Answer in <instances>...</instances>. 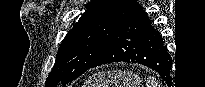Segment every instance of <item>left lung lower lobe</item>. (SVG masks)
<instances>
[{
	"instance_id": "1",
	"label": "left lung lower lobe",
	"mask_w": 205,
	"mask_h": 87,
	"mask_svg": "<svg viewBox=\"0 0 205 87\" xmlns=\"http://www.w3.org/2000/svg\"><path fill=\"white\" fill-rule=\"evenodd\" d=\"M113 62L142 64L157 71L165 81L171 79L172 61L163 39L137 3L109 39L91 68Z\"/></svg>"
}]
</instances>
